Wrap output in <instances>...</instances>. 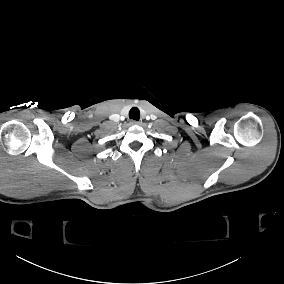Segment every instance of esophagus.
<instances>
[{"mask_svg": "<svg viewBox=\"0 0 284 284\" xmlns=\"http://www.w3.org/2000/svg\"><path fill=\"white\" fill-rule=\"evenodd\" d=\"M130 123H131L132 125H138V124H139V122L136 121V120H132Z\"/></svg>", "mask_w": 284, "mask_h": 284, "instance_id": "esophagus-1", "label": "esophagus"}]
</instances>
